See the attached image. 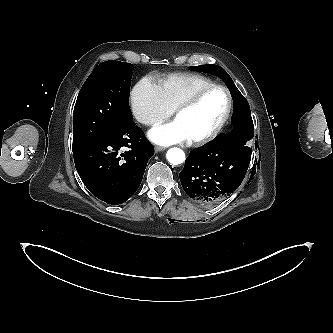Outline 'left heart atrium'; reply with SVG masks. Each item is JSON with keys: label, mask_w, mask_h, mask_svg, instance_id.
<instances>
[{"label": "left heart atrium", "mask_w": 333, "mask_h": 333, "mask_svg": "<svg viewBox=\"0 0 333 333\" xmlns=\"http://www.w3.org/2000/svg\"><path fill=\"white\" fill-rule=\"evenodd\" d=\"M148 136L151 141L160 145H171L189 140L176 120L154 127L149 131Z\"/></svg>", "instance_id": "obj_1"}]
</instances>
